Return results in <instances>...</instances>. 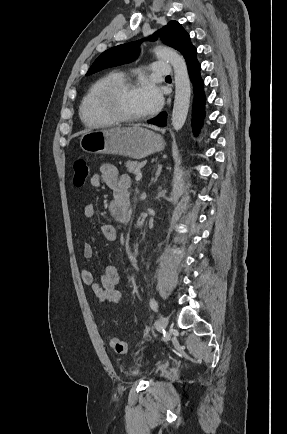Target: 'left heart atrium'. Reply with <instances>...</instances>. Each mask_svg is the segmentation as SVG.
<instances>
[{"instance_id":"obj_1","label":"left heart atrium","mask_w":287,"mask_h":434,"mask_svg":"<svg viewBox=\"0 0 287 434\" xmlns=\"http://www.w3.org/2000/svg\"><path fill=\"white\" fill-rule=\"evenodd\" d=\"M137 93L146 113H154L162 106V92L160 88L153 82H143L137 88Z\"/></svg>"}]
</instances>
